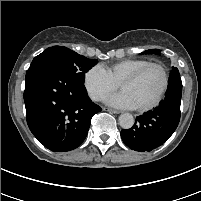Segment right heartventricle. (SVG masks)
Returning a JSON list of instances; mask_svg holds the SVG:
<instances>
[{
  "mask_svg": "<svg viewBox=\"0 0 201 201\" xmlns=\"http://www.w3.org/2000/svg\"><path fill=\"white\" fill-rule=\"evenodd\" d=\"M148 63L149 61L144 59H126L103 66V68L107 71L111 79L116 84H119L125 77Z\"/></svg>",
  "mask_w": 201,
  "mask_h": 201,
  "instance_id": "e07e8e85",
  "label": "right heart ventricle"
}]
</instances>
